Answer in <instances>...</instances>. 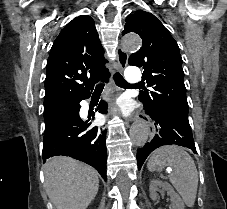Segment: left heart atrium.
<instances>
[{
    "instance_id": "39dd6f15",
    "label": "left heart atrium",
    "mask_w": 227,
    "mask_h": 209,
    "mask_svg": "<svg viewBox=\"0 0 227 209\" xmlns=\"http://www.w3.org/2000/svg\"><path fill=\"white\" fill-rule=\"evenodd\" d=\"M121 110L125 113H128L130 111V108H129V106L124 105V106H121Z\"/></svg>"
}]
</instances>
